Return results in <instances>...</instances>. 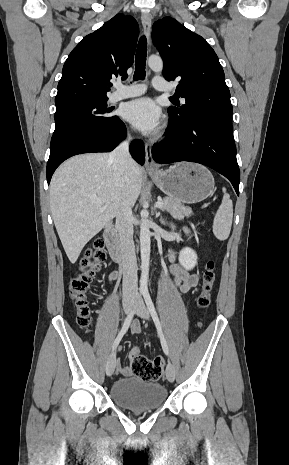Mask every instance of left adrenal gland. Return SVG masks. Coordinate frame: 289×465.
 I'll use <instances>...</instances> for the list:
<instances>
[{"mask_svg": "<svg viewBox=\"0 0 289 465\" xmlns=\"http://www.w3.org/2000/svg\"><path fill=\"white\" fill-rule=\"evenodd\" d=\"M159 216H160V212H157V213H156V217L158 218ZM159 220H160V222H161L163 225H167V224H168V223H167V220L164 219L162 216H160Z\"/></svg>", "mask_w": 289, "mask_h": 465, "instance_id": "1", "label": "left adrenal gland"}]
</instances>
